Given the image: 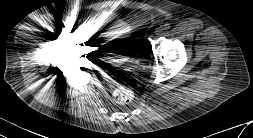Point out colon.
<instances>
[{
    "label": "colon",
    "mask_w": 253,
    "mask_h": 138,
    "mask_svg": "<svg viewBox=\"0 0 253 138\" xmlns=\"http://www.w3.org/2000/svg\"><path fill=\"white\" fill-rule=\"evenodd\" d=\"M114 100L119 104H128L134 98V89L131 85L120 84L113 93Z\"/></svg>",
    "instance_id": "obj_1"
}]
</instances>
